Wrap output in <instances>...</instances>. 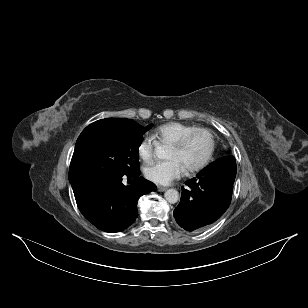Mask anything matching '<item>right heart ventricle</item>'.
I'll list each match as a JSON object with an SVG mask.
<instances>
[{
  "label": "right heart ventricle",
  "instance_id": "e07e8e85",
  "mask_svg": "<svg viewBox=\"0 0 308 308\" xmlns=\"http://www.w3.org/2000/svg\"><path fill=\"white\" fill-rule=\"evenodd\" d=\"M199 128L182 122H168L153 131V138L159 145L170 146L186 133Z\"/></svg>",
  "mask_w": 308,
  "mask_h": 308
}]
</instances>
